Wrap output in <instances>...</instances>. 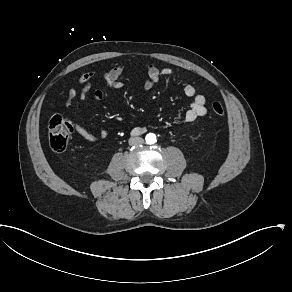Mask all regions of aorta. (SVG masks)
<instances>
[{"label": "aorta", "mask_w": 292, "mask_h": 292, "mask_svg": "<svg viewBox=\"0 0 292 292\" xmlns=\"http://www.w3.org/2000/svg\"><path fill=\"white\" fill-rule=\"evenodd\" d=\"M157 138H156V135L153 134V133H149L147 136H146V142L148 144H154L156 142Z\"/></svg>", "instance_id": "762f6f07"}]
</instances>
